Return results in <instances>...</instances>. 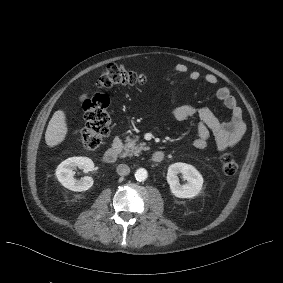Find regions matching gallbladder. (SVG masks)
<instances>
[{"label":"gallbladder","mask_w":283,"mask_h":283,"mask_svg":"<svg viewBox=\"0 0 283 283\" xmlns=\"http://www.w3.org/2000/svg\"><path fill=\"white\" fill-rule=\"evenodd\" d=\"M89 97V94L88 93H83L82 95L79 96V101L80 103H85L87 101Z\"/></svg>","instance_id":"bac80fb5"}]
</instances>
